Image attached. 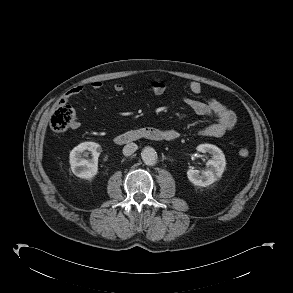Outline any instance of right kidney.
<instances>
[{
    "label": "right kidney",
    "mask_w": 293,
    "mask_h": 293,
    "mask_svg": "<svg viewBox=\"0 0 293 293\" xmlns=\"http://www.w3.org/2000/svg\"><path fill=\"white\" fill-rule=\"evenodd\" d=\"M88 150L92 153V159H85ZM101 146L95 142H83L74 147L70 152L69 162L71 170L79 178L90 180L98 173V157L101 153Z\"/></svg>",
    "instance_id": "right-kidney-1"
}]
</instances>
